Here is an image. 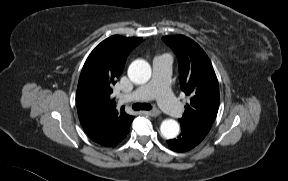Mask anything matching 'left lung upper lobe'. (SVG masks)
Instances as JSON below:
<instances>
[{"label": "left lung upper lobe", "mask_w": 288, "mask_h": 181, "mask_svg": "<svg viewBox=\"0 0 288 181\" xmlns=\"http://www.w3.org/2000/svg\"><path fill=\"white\" fill-rule=\"evenodd\" d=\"M162 39L177 54L181 89L191 97L179 122L210 129L218 112L219 86L208 56L196 42L184 35Z\"/></svg>", "instance_id": "left-lung-upper-lobe-1"}]
</instances>
